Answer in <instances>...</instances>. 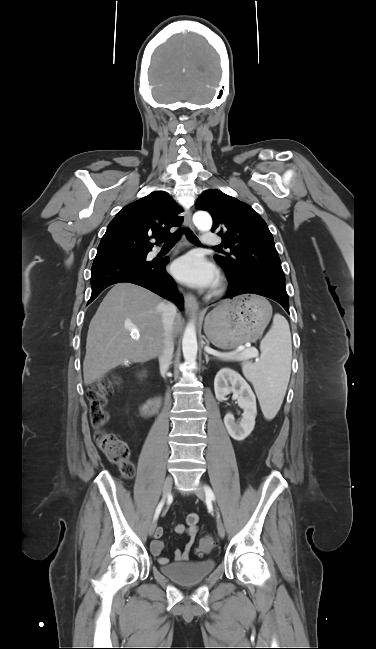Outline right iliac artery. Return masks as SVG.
<instances>
[{
	"label": "right iliac artery",
	"mask_w": 376,
	"mask_h": 649,
	"mask_svg": "<svg viewBox=\"0 0 376 649\" xmlns=\"http://www.w3.org/2000/svg\"><path fill=\"white\" fill-rule=\"evenodd\" d=\"M164 503H165V499L161 500V502L158 504V506H157V508H156V511H155L154 519H157V518H158V516H159V514H160V512H161V510H162V507H163Z\"/></svg>",
	"instance_id": "82829eb1"
}]
</instances>
